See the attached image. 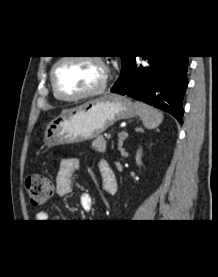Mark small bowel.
Returning a JSON list of instances; mask_svg holds the SVG:
<instances>
[{
  "instance_id": "1",
  "label": "small bowel",
  "mask_w": 218,
  "mask_h": 277,
  "mask_svg": "<svg viewBox=\"0 0 218 277\" xmlns=\"http://www.w3.org/2000/svg\"><path fill=\"white\" fill-rule=\"evenodd\" d=\"M101 165V164H100ZM99 165V170H100ZM80 162L76 158H64L59 166L57 175H56V195L57 196H65L67 195L72 187V177L74 173L79 169ZM112 171V170H111ZM112 174L114 175L113 171ZM101 175V172H100ZM102 179V187L105 192H112L114 190V184H105ZM80 204L82 208L86 211L92 209L93 200L89 193H82L80 195ZM36 222H45L47 220L48 215L44 211H38L35 215Z\"/></svg>"
}]
</instances>
